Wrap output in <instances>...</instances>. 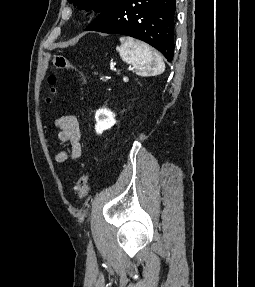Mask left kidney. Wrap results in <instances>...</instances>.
Returning a JSON list of instances; mask_svg holds the SVG:
<instances>
[{
	"label": "left kidney",
	"instance_id": "obj_1",
	"mask_svg": "<svg viewBox=\"0 0 255 287\" xmlns=\"http://www.w3.org/2000/svg\"><path fill=\"white\" fill-rule=\"evenodd\" d=\"M95 118L97 122V124H95V130L97 134H102L104 130H109V128H112L116 122L115 114L110 112V110H107V108H103V110H97Z\"/></svg>",
	"mask_w": 255,
	"mask_h": 287
}]
</instances>
